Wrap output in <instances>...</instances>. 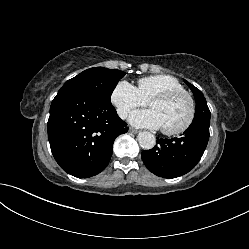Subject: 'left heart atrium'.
I'll return each mask as SVG.
<instances>
[{
	"instance_id": "1",
	"label": "left heart atrium",
	"mask_w": 249,
	"mask_h": 249,
	"mask_svg": "<svg viewBox=\"0 0 249 249\" xmlns=\"http://www.w3.org/2000/svg\"><path fill=\"white\" fill-rule=\"evenodd\" d=\"M131 124L137 127H146L152 129L161 128V121L153 110L134 111L129 118Z\"/></svg>"
}]
</instances>
